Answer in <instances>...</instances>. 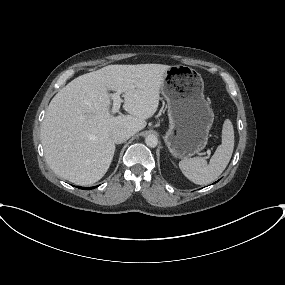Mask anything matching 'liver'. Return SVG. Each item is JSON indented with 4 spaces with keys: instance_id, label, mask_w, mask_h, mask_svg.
<instances>
[{
    "instance_id": "obj_1",
    "label": "liver",
    "mask_w": 285,
    "mask_h": 285,
    "mask_svg": "<svg viewBox=\"0 0 285 285\" xmlns=\"http://www.w3.org/2000/svg\"><path fill=\"white\" fill-rule=\"evenodd\" d=\"M162 64L108 65L81 75L51 100L41 125V142L50 168L77 185H91L107 172L115 143L111 132L131 136L157 111L165 72ZM109 90L123 93L129 115L113 116Z\"/></svg>"
}]
</instances>
